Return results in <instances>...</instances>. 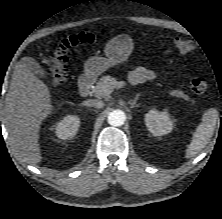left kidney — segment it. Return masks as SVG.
I'll return each mask as SVG.
<instances>
[{"label": "left kidney", "instance_id": "1", "mask_svg": "<svg viewBox=\"0 0 222 219\" xmlns=\"http://www.w3.org/2000/svg\"><path fill=\"white\" fill-rule=\"evenodd\" d=\"M145 124L147 129L154 136L168 134L173 129V122L166 110L161 112L155 109L150 110L145 115Z\"/></svg>", "mask_w": 222, "mask_h": 219}]
</instances>
